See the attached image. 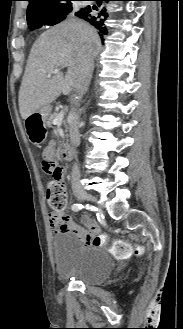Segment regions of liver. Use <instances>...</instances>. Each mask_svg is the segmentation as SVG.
Instances as JSON below:
<instances>
[{
    "mask_svg": "<svg viewBox=\"0 0 183 329\" xmlns=\"http://www.w3.org/2000/svg\"><path fill=\"white\" fill-rule=\"evenodd\" d=\"M101 49L97 30L79 19H68L42 33L32 46L19 90V109L26 120L62 92L78 87L81 58L96 57ZM68 67L49 76L54 68Z\"/></svg>",
    "mask_w": 183,
    "mask_h": 329,
    "instance_id": "1",
    "label": "liver"
}]
</instances>
